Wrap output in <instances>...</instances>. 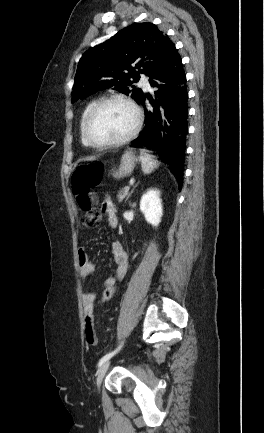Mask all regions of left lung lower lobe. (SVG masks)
Listing matches in <instances>:
<instances>
[{
	"instance_id": "0a47b994",
	"label": "left lung lower lobe",
	"mask_w": 264,
	"mask_h": 433,
	"mask_svg": "<svg viewBox=\"0 0 264 433\" xmlns=\"http://www.w3.org/2000/svg\"><path fill=\"white\" fill-rule=\"evenodd\" d=\"M151 77L150 84L158 90L153 96L143 94L139 100L145 111V126L132 142L137 148L158 151L161 161L169 165L181 187L188 132V91L186 74L176 49ZM145 100H149L150 107L145 106Z\"/></svg>"
}]
</instances>
